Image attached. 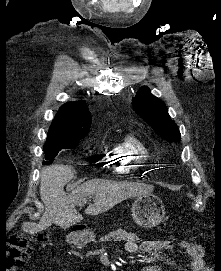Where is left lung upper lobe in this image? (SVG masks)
Listing matches in <instances>:
<instances>
[{"label":"left lung upper lobe","mask_w":221,"mask_h":271,"mask_svg":"<svg viewBox=\"0 0 221 271\" xmlns=\"http://www.w3.org/2000/svg\"><path fill=\"white\" fill-rule=\"evenodd\" d=\"M136 112L163 138L180 141V132L170 118L162 100L150 94L148 87H141L132 101Z\"/></svg>","instance_id":"obj_1"}]
</instances>
